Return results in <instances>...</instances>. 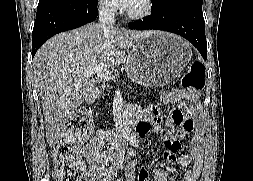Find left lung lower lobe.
I'll return each mask as SVG.
<instances>
[{
    "mask_svg": "<svg viewBox=\"0 0 253 181\" xmlns=\"http://www.w3.org/2000/svg\"><path fill=\"white\" fill-rule=\"evenodd\" d=\"M130 29L163 30L178 34L190 41L206 60L207 42L202 4L179 2L165 10L151 13L140 21L128 24Z\"/></svg>",
    "mask_w": 253,
    "mask_h": 181,
    "instance_id": "obj_1",
    "label": "left lung lower lobe"
}]
</instances>
